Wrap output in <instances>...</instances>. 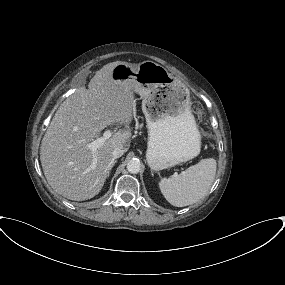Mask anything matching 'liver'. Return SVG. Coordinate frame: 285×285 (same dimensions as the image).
<instances>
[{
    "mask_svg": "<svg viewBox=\"0 0 285 285\" xmlns=\"http://www.w3.org/2000/svg\"><path fill=\"white\" fill-rule=\"evenodd\" d=\"M103 66L90 80L66 98L56 111L40 147V161L51 188L63 197L83 201L102 189L116 147L129 149L128 125L136 112L134 88L130 82L115 81L113 68ZM125 125L105 141L95 153L86 147L111 124ZM95 160V165L93 162Z\"/></svg>",
    "mask_w": 285,
    "mask_h": 285,
    "instance_id": "6515ba94",
    "label": "liver"
}]
</instances>
